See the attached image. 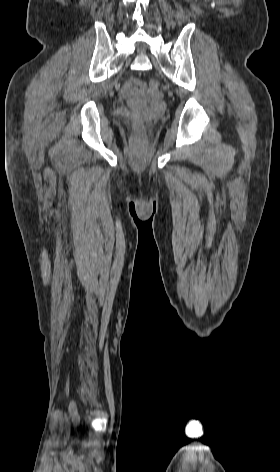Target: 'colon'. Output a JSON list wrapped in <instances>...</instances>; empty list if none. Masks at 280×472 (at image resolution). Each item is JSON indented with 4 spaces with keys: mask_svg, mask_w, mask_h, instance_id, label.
<instances>
[{
    "mask_svg": "<svg viewBox=\"0 0 280 472\" xmlns=\"http://www.w3.org/2000/svg\"><path fill=\"white\" fill-rule=\"evenodd\" d=\"M148 89L150 91H156L158 89V83L155 81V80H151L148 82ZM142 124L141 123H138L136 125V132L138 135H141L142 134Z\"/></svg>",
    "mask_w": 280,
    "mask_h": 472,
    "instance_id": "colon-1",
    "label": "colon"
}]
</instances>
